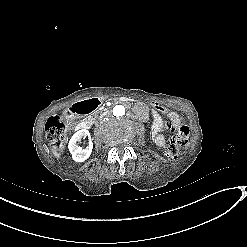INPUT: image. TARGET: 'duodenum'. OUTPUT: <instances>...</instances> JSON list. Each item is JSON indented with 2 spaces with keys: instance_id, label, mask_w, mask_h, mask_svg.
<instances>
[{
  "instance_id": "1",
  "label": "duodenum",
  "mask_w": 247,
  "mask_h": 247,
  "mask_svg": "<svg viewBox=\"0 0 247 247\" xmlns=\"http://www.w3.org/2000/svg\"><path fill=\"white\" fill-rule=\"evenodd\" d=\"M125 100V99H122ZM101 104L98 98H89L79 102L74 103L68 109V115L70 117H77L83 114H88L96 110ZM91 127V123L87 120L81 121L77 125L78 130H87Z\"/></svg>"
}]
</instances>
